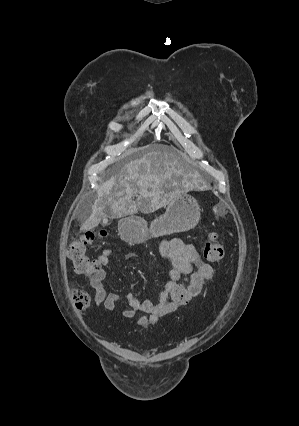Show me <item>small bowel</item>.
Masks as SVG:
<instances>
[{
    "instance_id": "obj_1",
    "label": "small bowel",
    "mask_w": 299,
    "mask_h": 426,
    "mask_svg": "<svg viewBox=\"0 0 299 426\" xmlns=\"http://www.w3.org/2000/svg\"><path fill=\"white\" fill-rule=\"evenodd\" d=\"M113 251L110 248L105 249L97 258L99 270L90 276V285L95 291L97 303L104 306L107 311H112L115 305L121 301L128 304V308L122 312V316L131 319L138 312H142L137 320V324L142 327H148L156 323L160 317L177 311L179 306H169L166 302L168 292L180 283L182 277L189 281L191 291V303L201 292L205 283L213 277V268L206 262L197 248L192 244H187L180 238L164 240L160 244V254L167 260L171 269L167 274L164 289L160 292L158 301L153 303L149 300H140L132 292H128L124 298L115 292L107 291L104 286L106 272L104 267L109 263ZM188 303V304H189Z\"/></svg>"
}]
</instances>
